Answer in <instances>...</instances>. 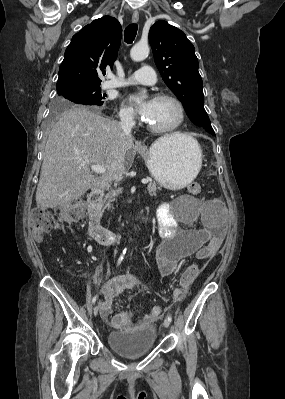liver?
<instances>
[{
    "label": "liver",
    "instance_id": "liver-1",
    "mask_svg": "<svg viewBox=\"0 0 285 399\" xmlns=\"http://www.w3.org/2000/svg\"><path fill=\"white\" fill-rule=\"evenodd\" d=\"M181 135L190 137L175 133L163 138ZM133 148L132 136L123 132L119 122L86 108L65 112L46 142L36 191L37 206L56 208L81 197L92 187H109L130 168ZM91 165H101L106 171L94 177Z\"/></svg>",
    "mask_w": 285,
    "mask_h": 399
}]
</instances>
